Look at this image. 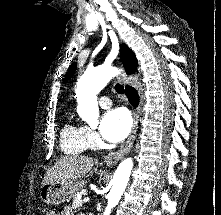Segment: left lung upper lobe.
<instances>
[{
	"instance_id": "obj_1",
	"label": "left lung upper lobe",
	"mask_w": 221,
	"mask_h": 215,
	"mask_svg": "<svg viewBox=\"0 0 221 215\" xmlns=\"http://www.w3.org/2000/svg\"><path fill=\"white\" fill-rule=\"evenodd\" d=\"M76 68H77V64L76 63H73L70 67H69V70L64 78V82L68 81L69 78L72 77V75L74 74V72L76 71Z\"/></svg>"
}]
</instances>
